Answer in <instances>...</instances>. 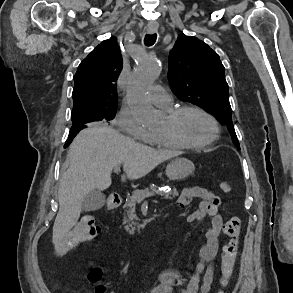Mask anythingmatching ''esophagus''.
<instances>
[{"label": "esophagus", "mask_w": 293, "mask_h": 293, "mask_svg": "<svg viewBox=\"0 0 293 293\" xmlns=\"http://www.w3.org/2000/svg\"><path fill=\"white\" fill-rule=\"evenodd\" d=\"M157 26L156 25H149L148 26V32L149 33H155L157 31Z\"/></svg>", "instance_id": "34e87169"}]
</instances>
